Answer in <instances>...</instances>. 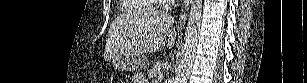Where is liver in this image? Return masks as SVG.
I'll use <instances>...</instances> for the list:
<instances>
[{
  "label": "liver",
  "instance_id": "1",
  "mask_svg": "<svg viewBox=\"0 0 307 83\" xmlns=\"http://www.w3.org/2000/svg\"><path fill=\"white\" fill-rule=\"evenodd\" d=\"M174 18L155 10L123 14L112 22L104 49L105 61L117 55L155 53L166 44L170 49L176 38ZM173 30V31H172Z\"/></svg>",
  "mask_w": 307,
  "mask_h": 83
}]
</instances>
